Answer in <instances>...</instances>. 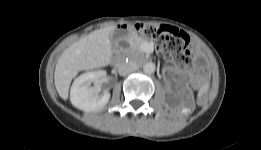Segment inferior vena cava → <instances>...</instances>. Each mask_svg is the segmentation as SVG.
<instances>
[{
	"label": "inferior vena cava",
	"mask_w": 261,
	"mask_h": 150,
	"mask_svg": "<svg viewBox=\"0 0 261 150\" xmlns=\"http://www.w3.org/2000/svg\"><path fill=\"white\" fill-rule=\"evenodd\" d=\"M138 69V65L133 62H122L118 65V72L120 75H128Z\"/></svg>",
	"instance_id": "1"
}]
</instances>
